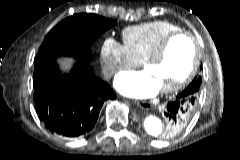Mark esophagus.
I'll return each mask as SVG.
<instances>
[{"mask_svg": "<svg viewBox=\"0 0 240 160\" xmlns=\"http://www.w3.org/2000/svg\"><path fill=\"white\" fill-rule=\"evenodd\" d=\"M135 103H136L138 106H142V107H143V104H144L145 102L135 101Z\"/></svg>", "mask_w": 240, "mask_h": 160, "instance_id": "obj_1", "label": "esophagus"}]
</instances>
